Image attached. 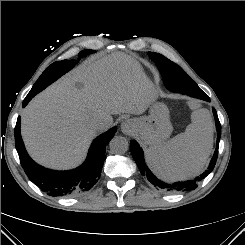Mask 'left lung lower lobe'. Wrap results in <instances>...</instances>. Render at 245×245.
<instances>
[{
	"instance_id": "1",
	"label": "left lung lower lobe",
	"mask_w": 245,
	"mask_h": 245,
	"mask_svg": "<svg viewBox=\"0 0 245 245\" xmlns=\"http://www.w3.org/2000/svg\"><path fill=\"white\" fill-rule=\"evenodd\" d=\"M170 91L173 92H179L183 94H187L189 96L199 98L205 101L210 102V98L198 87H189V83L183 84V86H177L174 87L173 89H169ZM213 114L215 118V123H216V129H217V146L216 150L214 152V155L210 161V165L208 170H206L200 177H197L194 180H189V181H184V182H178L174 184H167L162 182L161 180L157 179L156 176L152 174V172L149 170V168L146 166L145 160H144V153L139 144L136 141H131L130 146H131V153L132 156L140 170L143 176L147 177V179L157 188H161L165 191L169 192H175V191H189V190H194L197 187L198 182L203 179L207 174L211 173L212 170L214 169V166L217 161V156H218V147H219V141H220V136H221V124L219 122L217 112L215 108H213Z\"/></svg>"
}]
</instances>
